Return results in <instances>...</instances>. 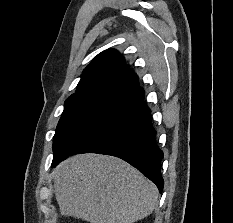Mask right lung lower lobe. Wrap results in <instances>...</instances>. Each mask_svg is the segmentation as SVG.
<instances>
[{"label":"right lung lower lobe","instance_id":"1","mask_svg":"<svg viewBox=\"0 0 233 223\" xmlns=\"http://www.w3.org/2000/svg\"><path fill=\"white\" fill-rule=\"evenodd\" d=\"M123 112L100 134L77 153H100L119 157L140 170L154 182L160 193L163 179L160 172L163 152L155 142L150 109L144 103V91L136 86L123 93ZM75 153V154H77ZM73 154H54L52 167Z\"/></svg>","mask_w":233,"mask_h":223}]
</instances>
